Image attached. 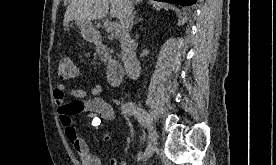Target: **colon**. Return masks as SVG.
<instances>
[{
  "mask_svg": "<svg viewBox=\"0 0 276 165\" xmlns=\"http://www.w3.org/2000/svg\"><path fill=\"white\" fill-rule=\"evenodd\" d=\"M78 68L75 62L70 57H62L58 65V75L61 79L67 80L76 77Z\"/></svg>",
  "mask_w": 276,
  "mask_h": 165,
  "instance_id": "5ec220e1",
  "label": "colon"
}]
</instances>
